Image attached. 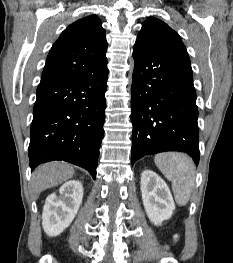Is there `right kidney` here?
Returning a JSON list of instances; mask_svg holds the SVG:
<instances>
[{
	"label": "right kidney",
	"instance_id": "ca27d5eb",
	"mask_svg": "<svg viewBox=\"0 0 233 263\" xmlns=\"http://www.w3.org/2000/svg\"><path fill=\"white\" fill-rule=\"evenodd\" d=\"M60 195L50 194L42 213V226L48 236L62 233L74 220L83 199V186L78 180L65 182Z\"/></svg>",
	"mask_w": 233,
	"mask_h": 263
}]
</instances>
